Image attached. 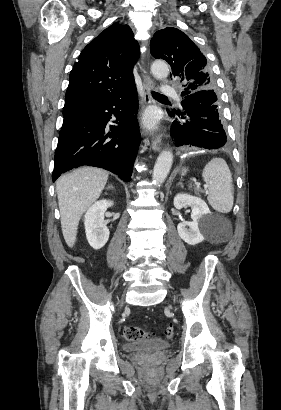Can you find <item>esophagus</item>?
<instances>
[{
	"label": "esophagus",
	"mask_w": 281,
	"mask_h": 410,
	"mask_svg": "<svg viewBox=\"0 0 281 410\" xmlns=\"http://www.w3.org/2000/svg\"><path fill=\"white\" fill-rule=\"evenodd\" d=\"M154 88L152 79L143 71V89H144V101L146 105H150L153 102L151 91ZM162 147V137L160 134L155 135L152 138V148L154 151H159Z\"/></svg>",
	"instance_id": "1"
}]
</instances>
